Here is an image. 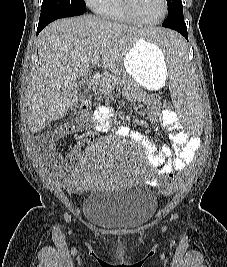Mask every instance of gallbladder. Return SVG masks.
Wrapping results in <instances>:
<instances>
[{
    "mask_svg": "<svg viewBox=\"0 0 227 267\" xmlns=\"http://www.w3.org/2000/svg\"><path fill=\"white\" fill-rule=\"evenodd\" d=\"M86 84L87 83L85 82V80H83V79H79L78 80V90H79V92H82L84 90Z\"/></svg>",
    "mask_w": 227,
    "mask_h": 267,
    "instance_id": "bac80fb5",
    "label": "gallbladder"
}]
</instances>
